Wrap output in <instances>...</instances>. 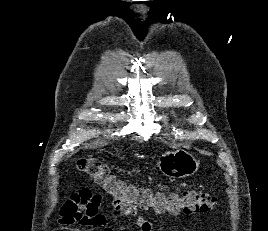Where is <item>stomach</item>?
Returning a JSON list of instances; mask_svg holds the SVG:
<instances>
[{
  "instance_id": "stomach-1",
  "label": "stomach",
  "mask_w": 268,
  "mask_h": 231,
  "mask_svg": "<svg viewBox=\"0 0 268 231\" xmlns=\"http://www.w3.org/2000/svg\"><path fill=\"white\" fill-rule=\"evenodd\" d=\"M159 169L169 178L193 176L200 167V161L185 150L167 151L159 160Z\"/></svg>"
}]
</instances>
